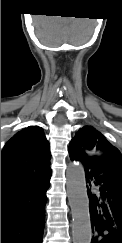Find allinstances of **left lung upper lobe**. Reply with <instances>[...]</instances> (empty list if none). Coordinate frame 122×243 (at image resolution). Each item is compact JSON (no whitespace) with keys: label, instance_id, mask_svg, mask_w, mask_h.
Returning a JSON list of instances; mask_svg holds the SVG:
<instances>
[{"label":"left lung upper lobe","instance_id":"left-lung-upper-lobe-1","mask_svg":"<svg viewBox=\"0 0 122 243\" xmlns=\"http://www.w3.org/2000/svg\"><path fill=\"white\" fill-rule=\"evenodd\" d=\"M106 154L122 157L119 150L91 126L79 129L69 145L71 160L81 161L85 157H102Z\"/></svg>","mask_w":122,"mask_h":243}]
</instances>
